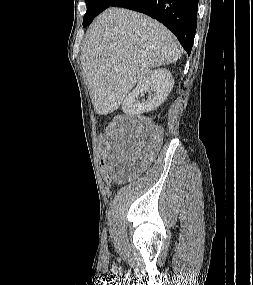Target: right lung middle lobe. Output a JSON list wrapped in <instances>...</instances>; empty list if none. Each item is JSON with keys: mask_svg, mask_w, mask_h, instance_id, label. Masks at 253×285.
Wrapping results in <instances>:
<instances>
[{"mask_svg": "<svg viewBox=\"0 0 253 285\" xmlns=\"http://www.w3.org/2000/svg\"><path fill=\"white\" fill-rule=\"evenodd\" d=\"M87 11L84 15L83 26L89 25L92 20L103 10L108 8L115 0H85Z\"/></svg>", "mask_w": 253, "mask_h": 285, "instance_id": "1", "label": "right lung middle lobe"}]
</instances>
